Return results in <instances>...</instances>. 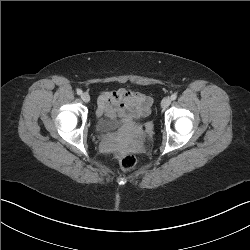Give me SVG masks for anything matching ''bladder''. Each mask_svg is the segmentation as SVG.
Segmentation results:
<instances>
[{
  "mask_svg": "<svg viewBox=\"0 0 250 250\" xmlns=\"http://www.w3.org/2000/svg\"><path fill=\"white\" fill-rule=\"evenodd\" d=\"M126 124V121L111 116H100L95 121V130L100 134H108L121 130Z\"/></svg>",
  "mask_w": 250,
  "mask_h": 250,
  "instance_id": "1",
  "label": "bladder"
}]
</instances>
